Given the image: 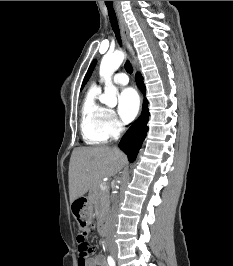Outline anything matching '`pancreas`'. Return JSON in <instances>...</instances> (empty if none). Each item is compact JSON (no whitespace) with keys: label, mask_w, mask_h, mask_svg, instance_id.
Segmentation results:
<instances>
[{"label":"pancreas","mask_w":233,"mask_h":266,"mask_svg":"<svg viewBox=\"0 0 233 266\" xmlns=\"http://www.w3.org/2000/svg\"><path fill=\"white\" fill-rule=\"evenodd\" d=\"M90 201L99 209L100 213H106L109 205V191L101 190L99 184H96L89 193Z\"/></svg>","instance_id":"cf45deb5"}]
</instances>
